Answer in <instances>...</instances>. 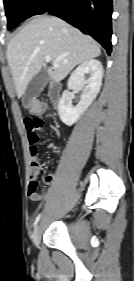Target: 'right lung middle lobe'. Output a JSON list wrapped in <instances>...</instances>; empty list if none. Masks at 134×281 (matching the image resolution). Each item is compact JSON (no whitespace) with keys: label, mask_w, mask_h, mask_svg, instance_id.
Instances as JSON below:
<instances>
[{"label":"right lung middle lobe","mask_w":134,"mask_h":281,"mask_svg":"<svg viewBox=\"0 0 134 281\" xmlns=\"http://www.w3.org/2000/svg\"><path fill=\"white\" fill-rule=\"evenodd\" d=\"M38 0H4L8 28L16 27L20 22L30 17L34 5Z\"/></svg>","instance_id":"dd1d6c3e"}]
</instances>
